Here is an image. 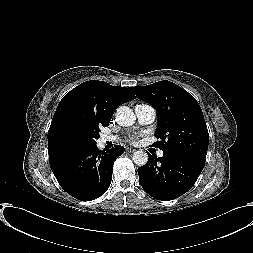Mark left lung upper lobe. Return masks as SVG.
Instances as JSON below:
<instances>
[{"mask_svg": "<svg viewBox=\"0 0 253 253\" xmlns=\"http://www.w3.org/2000/svg\"><path fill=\"white\" fill-rule=\"evenodd\" d=\"M131 90L157 112L155 135L160 141L155 147L206 160L209 134L201 107L191 94L167 80Z\"/></svg>", "mask_w": 253, "mask_h": 253, "instance_id": "1", "label": "left lung upper lobe"}]
</instances>
